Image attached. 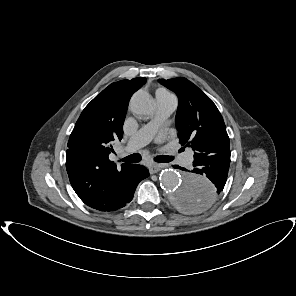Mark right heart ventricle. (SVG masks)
<instances>
[{
    "label": "right heart ventricle",
    "instance_id": "right-heart-ventricle-1",
    "mask_svg": "<svg viewBox=\"0 0 296 296\" xmlns=\"http://www.w3.org/2000/svg\"><path fill=\"white\" fill-rule=\"evenodd\" d=\"M156 92H160V93H168L165 89L163 88H159Z\"/></svg>",
    "mask_w": 296,
    "mask_h": 296
}]
</instances>
